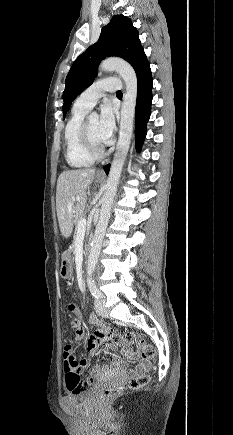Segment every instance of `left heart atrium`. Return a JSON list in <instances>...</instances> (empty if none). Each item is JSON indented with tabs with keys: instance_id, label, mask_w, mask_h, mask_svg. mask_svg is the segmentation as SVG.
Returning a JSON list of instances; mask_svg holds the SVG:
<instances>
[{
	"instance_id": "left-heart-atrium-1",
	"label": "left heart atrium",
	"mask_w": 233,
	"mask_h": 435,
	"mask_svg": "<svg viewBox=\"0 0 233 435\" xmlns=\"http://www.w3.org/2000/svg\"><path fill=\"white\" fill-rule=\"evenodd\" d=\"M115 131L114 111L109 103H105L101 108L99 118V136L104 144H108Z\"/></svg>"
}]
</instances>
